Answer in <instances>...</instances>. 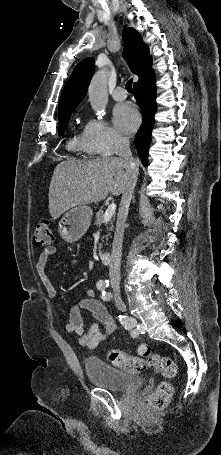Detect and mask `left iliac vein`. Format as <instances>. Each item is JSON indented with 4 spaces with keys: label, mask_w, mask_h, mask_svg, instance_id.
Listing matches in <instances>:
<instances>
[{
    "label": "left iliac vein",
    "mask_w": 221,
    "mask_h": 455,
    "mask_svg": "<svg viewBox=\"0 0 221 455\" xmlns=\"http://www.w3.org/2000/svg\"><path fill=\"white\" fill-rule=\"evenodd\" d=\"M116 306L118 308V310L120 311H126V305L124 304V302L120 299H116Z\"/></svg>",
    "instance_id": "obj_1"
}]
</instances>
